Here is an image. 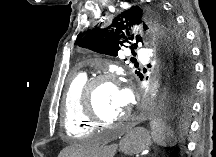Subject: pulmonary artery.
I'll use <instances>...</instances> for the list:
<instances>
[{"label": "pulmonary artery", "instance_id": "obj_1", "mask_svg": "<svg viewBox=\"0 0 216 157\" xmlns=\"http://www.w3.org/2000/svg\"><path fill=\"white\" fill-rule=\"evenodd\" d=\"M137 56L141 59V60H146L148 59V53L147 51H145L144 49H140L137 51Z\"/></svg>", "mask_w": 216, "mask_h": 157}]
</instances>
